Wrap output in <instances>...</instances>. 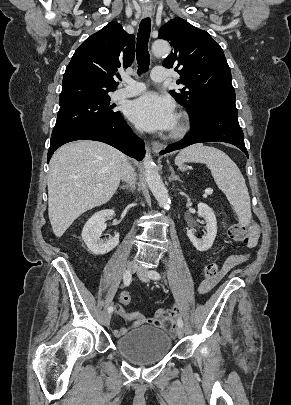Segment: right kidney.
<instances>
[{
    "instance_id": "obj_1",
    "label": "right kidney",
    "mask_w": 291,
    "mask_h": 405,
    "mask_svg": "<svg viewBox=\"0 0 291 405\" xmlns=\"http://www.w3.org/2000/svg\"><path fill=\"white\" fill-rule=\"evenodd\" d=\"M114 214V210H101L89 218L82 230L83 241L95 255L106 254L119 243V233H115L113 237H110L106 241L100 239L102 232L106 228V218Z\"/></svg>"
}]
</instances>
